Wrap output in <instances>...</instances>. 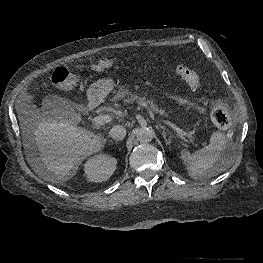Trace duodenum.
<instances>
[{"label":"duodenum","instance_id":"1","mask_svg":"<svg viewBox=\"0 0 263 263\" xmlns=\"http://www.w3.org/2000/svg\"><path fill=\"white\" fill-rule=\"evenodd\" d=\"M94 106H95V103H94L93 101H91V102L89 103V107H90V108H94Z\"/></svg>","mask_w":263,"mask_h":263}]
</instances>
